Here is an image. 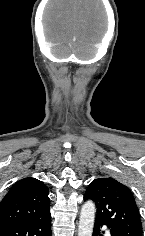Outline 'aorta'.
I'll use <instances>...</instances> for the list:
<instances>
[{
    "label": "aorta",
    "mask_w": 145,
    "mask_h": 236,
    "mask_svg": "<svg viewBox=\"0 0 145 236\" xmlns=\"http://www.w3.org/2000/svg\"><path fill=\"white\" fill-rule=\"evenodd\" d=\"M95 219V204L87 201L81 209L78 236H92Z\"/></svg>",
    "instance_id": "obj_1"
}]
</instances>
